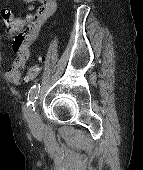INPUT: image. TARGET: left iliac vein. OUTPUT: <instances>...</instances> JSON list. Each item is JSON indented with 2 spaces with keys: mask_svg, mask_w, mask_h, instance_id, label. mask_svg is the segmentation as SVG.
I'll list each match as a JSON object with an SVG mask.
<instances>
[{
  "mask_svg": "<svg viewBox=\"0 0 143 170\" xmlns=\"http://www.w3.org/2000/svg\"><path fill=\"white\" fill-rule=\"evenodd\" d=\"M29 124L30 126L32 127H37L39 126L40 124V118H39V115L38 113L35 111V112H32L31 114V117H30V120H29Z\"/></svg>",
  "mask_w": 143,
  "mask_h": 170,
  "instance_id": "4c4485c4",
  "label": "left iliac vein"
}]
</instances>
